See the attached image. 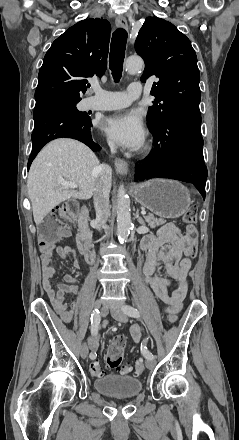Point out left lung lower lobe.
Masks as SVG:
<instances>
[{
  "label": "left lung lower lobe",
  "mask_w": 239,
  "mask_h": 440,
  "mask_svg": "<svg viewBox=\"0 0 239 440\" xmlns=\"http://www.w3.org/2000/svg\"><path fill=\"white\" fill-rule=\"evenodd\" d=\"M199 110L182 109L165 117L150 130L155 148L147 161L136 165V179L171 178L193 183L205 199L207 168L203 160V138Z\"/></svg>",
  "instance_id": "1"
}]
</instances>
